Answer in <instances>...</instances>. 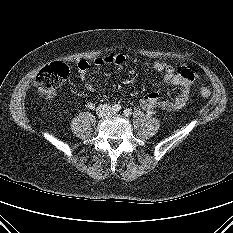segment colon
I'll list each match as a JSON object with an SVG mask.
<instances>
[{
	"label": "colon",
	"mask_w": 233,
	"mask_h": 233,
	"mask_svg": "<svg viewBox=\"0 0 233 233\" xmlns=\"http://www.w3.org/2000/svg\"><path fill=\"white\" fill-rule=\"evenodd\" d=\"M69 74V68L64 63H52L45 66L35 78V86L38 93L46 98L53 97L57 89L64 83ZM202 98L210 97L211 92L207 87L200 89Z\"/></svg>",
	"instance_id": "obj_1"
}]
</instances>
